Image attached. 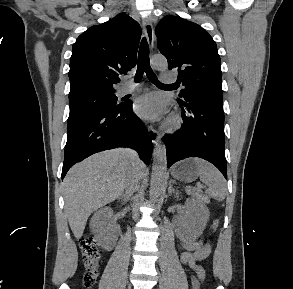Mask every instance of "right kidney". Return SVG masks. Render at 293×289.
Returning a JSON list of instances; mask_svg holds the SVG:
<instances>
[{
    "mask_svg": "<svg viewBox=\"0 0 293 289\" xmlns=\"http://www.w3.org/2000/svg\"><path fill=\"white\" fill-rule=\"evenodd\" d=\"M112 217L111 209L108 207L102 208L94 213L90 221V228L96 234L98 239L104 238L106 243L105 234L108 232V225Z\"/></svg>",
    "mask_w": 293,
    "mask_h": 289,
    "instance_id": "right-kidney-1",
    "label": "right kidney"
}]
</instances>
